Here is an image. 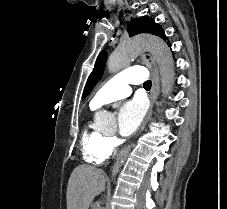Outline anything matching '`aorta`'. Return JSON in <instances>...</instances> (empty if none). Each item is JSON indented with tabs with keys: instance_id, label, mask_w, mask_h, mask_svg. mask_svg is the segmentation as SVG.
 <instances>
[{
	"instance_id": "aorta-1",
	"label": "aorta",
	"mask_w": 227,
	"mask_h": 209,
	"mask_svg": "<svg viewBox=\"0 0 227 209\" xmlns=\"http://www.w3.org/2000/svg\"><path fill=\"white\" fill-rule=\"evenodd\" d=\"M145 50L152 54L159 66L160 75L162 77V90L164 94L169 93L172 90L175 75L174 60L168 45L158 37L150 35L137 36L121 43L108 58V71L115 73L122 70L130 64L134 57ZM100 114L101 112H97L96 116ZM127 155L128 150H124L117 158V161L112 169V179L119 172L121 166L126 160Z\"/></svg>"
}]
</instances>
